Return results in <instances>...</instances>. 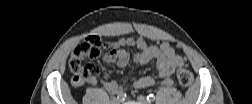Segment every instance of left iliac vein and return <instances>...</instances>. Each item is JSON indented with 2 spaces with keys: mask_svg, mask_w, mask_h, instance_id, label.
Listing matches in <instances>:
<instances>
[{
  "mask_svg": "<svg viewBox=\"0 0 252 104\" xmlns=\"http://www.w3.org/2000/svg\"><path fill=\"white\" fill-rule=\"evenodd\" d=\"M137 100H138L140 103H142V104H147V103H148L146 97H144V96H142V95H139V96L137 97Z\"/></svg>",
  "mask_w": 252,
  "mask_h": 104,
  "instance_id": "obj_1",
  "label": "left iliac vein"
}]
</instances>
